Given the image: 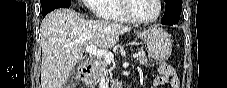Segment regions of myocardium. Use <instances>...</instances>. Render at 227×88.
I'll return each instance as SVG.
<instances>
[{
  "mask_svg": "<svg viewBox=\"0 0 227 88\" xmlns=\"http://www.w3.org/2000/svg\"><path fill=\"white\" fill-rule=\"evenodd\" d=\"M133 0H123L121 3V9L125 17L132 23L135 24H150L155 22L161 15L162 12V7H161V1L160 0H155V3L157 5V14L150 19H138L134 17L131 12H130V2Z\"/></svg>",
  "mask_w": 227,
  "mask_h": 88,
  "instance_id": "1",
  "label": "myocardium"
}]
</instances>
